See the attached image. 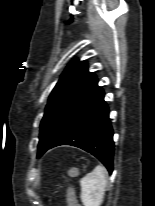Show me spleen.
Wrapping results in <instances>:
<instances>
[{
    "label": "spleen",
    "mask_w": 155,
    "mask_h": 206,
    "mask_svg": "<svg viewBox=\"0 0 155 206\" xmlns=\"http://www.w3.org/2000/svg\"><path fill=\"white\" fill-rule=\"evenodd\" d=\"M80 186L84 206H100L107 186L106 169L101 165L96 166L80 180Z\"/></svg>",
    "instance_id": "spleen-1"
}]
</instances>
